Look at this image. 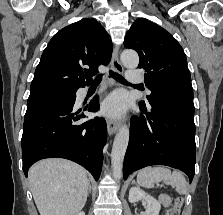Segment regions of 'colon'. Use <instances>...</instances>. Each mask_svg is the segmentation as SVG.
Returning a JSON list of instances; mask_svg holds the SVG:
<instances>
[{
	"label": "colon",
	"instance_id": "obj_1",
	"mask_svg": "<svg viewBox=\"0 0 223 215\" xmlns=\"http://www.w3.org/2000/svg\"><path fill=\"white\" fill-rule=\"evenodd\" d=\"M183 205V198L178 197L174 205L167 211L166 215H179Z\"/></svg>",
	"mask_w": 223,
	"mask_h": 215
}]
</instances>
